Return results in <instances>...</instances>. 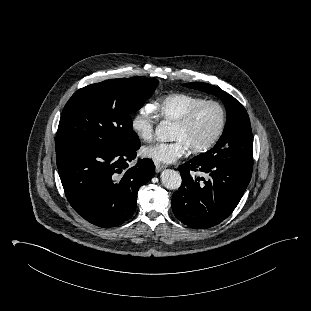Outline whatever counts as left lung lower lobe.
Instances as JSON below:
<instances>
[{
    "label": "left lung lower lobe",
    "mask_w": 311,
    "mask_h": 311,
    "mask_svg": "<svg viewBox=\"0 0 311 311\" xmlns=\"http://www.w3.org/2000/svg\"><path fill=\"white\" fill-rule=\"evenodd\" d=\"M252 168L253 159L244 157L212 160L196 156L179 166L182 184L172 197L175 216L195 229L219 224L238 205L250 182ZM193 171L204 172L209 178H194Z\"/></svg>",
    "instance_id": "0a47b994"
}]
</instances>
